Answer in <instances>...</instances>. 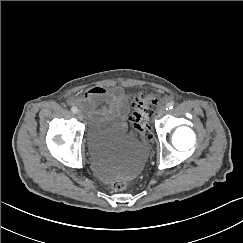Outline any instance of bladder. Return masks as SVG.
Instances as JSON below:
<instances>
[{"label": "bladder", "mask_w": 243, "mask_h": 243, "mask_svg": "<svg viewBox=\"0 0 243 243\" xmlns=\"http://www.w3.org/2000/svg\"><path fill=\"white\" fill-rule=\"evenodd\" d=\"M86 141L92 153L117 156V176L134 175L142 166L143 142L137 135L129 133L126 121L121 123L114 116L95 117L90 122Z\"/></svg>", "instance_id": "bladder-1"}]
</instances>
